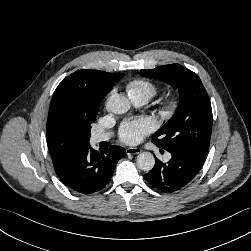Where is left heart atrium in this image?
<instances>
[{"label":"left heart atrium","mask_w":251,"mask_h":251,"mask_svg":"<svg viewBox=\"0 0 251 251\" xmlns=\"http://www.w3.org/2000/svg\"><path fill=\"white\" fill-rule=\"evenodd\" d=\"M152 130L153 125L151 121L146 118L128 121L121 127L120 139L126 144L134 145L142 141V139L151 133Z\"/></svg>","instance_id":"obj_1"}]
</instances>
